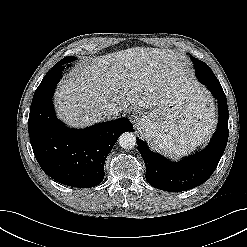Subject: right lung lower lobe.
I'll list each match as a JSON object with an SVG mask.
<instances>
[{
  "label": "right lung lower lobe",
  "mask_w": 247,
  "mask_h": 247,
  "mask_svg": "<svg viewBox=\"0 0 247 247\" xmlns=\"http://www.w3.org/2000/svg\"><path fill=\"white\" fill-rule=\"evenodd\" d=\"M65 66L52 68L36 89L28 120L34 155L42 170L55 181L72 187L97 186L104 178V163L120 134L133 131L121 118L75 130L54 113L52 96Z\"/></svg>",
  "instance_id": "right-lung-lower-lobe-1"
}]
</instances>
